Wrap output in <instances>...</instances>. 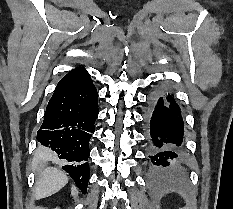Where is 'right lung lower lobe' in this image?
I'll list each match as a JSON object with an SVG mask.
<instances>
[{"instance_id":"98d812e1","label":"right lung lower lobe","mask_w":233,"mask_h":209,"mask_svg":"<svg viewBox=\"0 0 233 209\" xmlns=\"http://www.w3.org/2000/svg\"><path fill=\"white\" fill-rule=\"evenodd\" d=\"M98 93L84 68L64 76L52 95L37 132L39 142L66 160L63 169L83 194L89 181V140L98 117Z\"/></svg>"}]
</instances>
